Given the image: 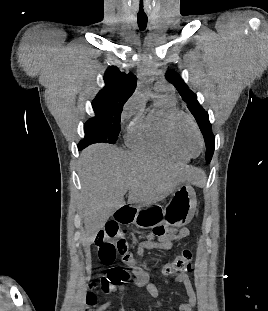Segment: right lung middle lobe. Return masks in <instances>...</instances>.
Listing matches in <instances>:
<instances>
[{
	"label": "right lung middle lobe",
	"instance_id": "obj_1",
	"mask_svg": "<svg viewBox=\"0 0 268 311\" xmlns=\"http://www.w3.org/2000/svg\"><path fill=\"white\" fill-rule=\"evenodd\" d=\"M95 117L84 124L85 138L78 144L82 148L93 143L115 144L120 132L122 109L92 102Z\"/></svg>",
	"mask_w": 268,
	"mask_h": 311
}]
</instances>
